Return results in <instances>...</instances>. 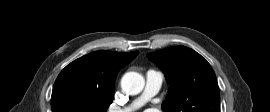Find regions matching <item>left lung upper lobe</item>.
<instances>
[{
	"mask_svg": "<svg viewBox=\"0 0 270 112\" xmlns=\"http://www.w3.org/2000/svg\"><path fill=\"white\" fill-rule=\"evenodd\" d=\"M170 83L163 112H219L220 93L210 64L196 51L176 46L148 53Z\"/></svg>",
	"mask_w": 270,
	"mask_h": 112,
	"instance_id": "5c2ea615",
	"label": "left lung upper lobe"
}]
</instances>
